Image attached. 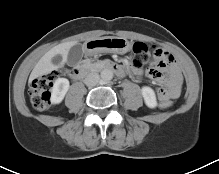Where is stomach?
<instances>
[{"label": "stomach", "mask_w": 219, "mask_h": 174, "mask_svg": "<svg viewBox=\"0 0 219 174\" xmlns=\"http://www.w3.org/2000/svg\"><path fill=\"white\" fill-rule=\"evenodd\" d=\"M84 47L88 55L98 53L125 54L130 50L131 43L126 38L108 36L88 40Z\"/></svg>", "instance_id": "1"}]
</instances>
